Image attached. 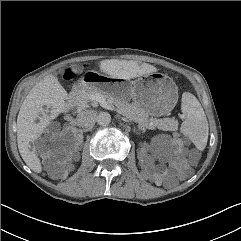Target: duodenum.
I'll use <instances>...</instances> for the list:
<instances>
[{"mask_svg":"<svg viewBox=\"0 0 241 241\" xmlns=\"http://www.w3.org/2000/svg\"><path fill=\"white\" fill-rule=\"evenodd\" d=\"M79 89H80L79 83L73 86L72 91L70 92V104H72L77 98Z\"/></svg>","mask_w":241,"mask_h":241,"instance_id":"410a0bca","label":"duodenum"}]
</instances>
